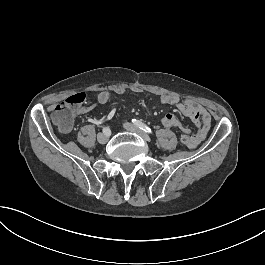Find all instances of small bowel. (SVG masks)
I'll use <instances>...</instances> for the list:
<instances>
[{
  "label": "small bowel",
  "mask_w": 265,
  "mask_h": 265,
  "mask_svg": "<svg viewBox=\"0 0 265 265\" xmlns=\"http://www.w3.org/2000/svg\"><path fill=\"white\" fill-rule=\"evenodd\" d=\"M114 92L116 94L123 95L127 92V89L125 87L119 86L114 89ZM134 92H140V90L134 89ZM98 100L101 104H107L111 101V95L109 92L103 91L99 94ZM160 102L163 105H171L176 107V109L182 115L190 118L195 123V125L198 127V130L195 134L191 135L190 128L183 124L174 114L168 113L161 119V123L164 127H177L185 134L191 135L194 140L190 143V146L193 149H196L199 146V143L206 138L211 126V116L208 110L195 101L189 99H180L177 96L169 94L161 95ZM90 109V107H79L75 110V113L84 114ZM125 120L128 122L130 119L127 117Z\"/></svg>",
  "instance_id": "c3829d8e"
}]
</instances>
